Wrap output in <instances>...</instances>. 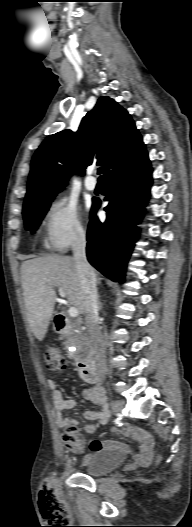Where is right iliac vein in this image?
I'll return each mask as SVG.
<instances>
[{"label": "right iliac vein", "mask_w": 192, "mask_h": 527, "mask_svg": "<svg viewBox=\"0 0 192 527\" xmlns=\"http://www.w3.org/2000/svg\"><path fill=\"white\" fill-rule=\"evenodd\" d=\"M111 406H112V408H113V410L115 412L120 411L122 409V407H123L122 403L120 401H118V400H112L111 401Z\"/></svg>", "instance_id": "1"}]
</instances>
